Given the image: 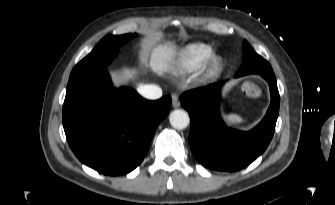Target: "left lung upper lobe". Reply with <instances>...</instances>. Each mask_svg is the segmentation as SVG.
I'll list each match as a JSON object with an SVG mask.
<instances>
[{"label":"left lung upper lobe","instance_id":"1","mask_svg":"<svg viewBox=\"0 0 335 205\" xmlns=\"http://www.w3.org/2000/svg\"><path fill=\"white\" fill-rule=\"evenodd\" d=\"M243 64L236 73L239 76L248 74L273 75L274 72L270 64L261 56H259L248 44L246 40L243 42Z\"/></svg>","mask_w":335,"mask_h":205}]
</instances>
